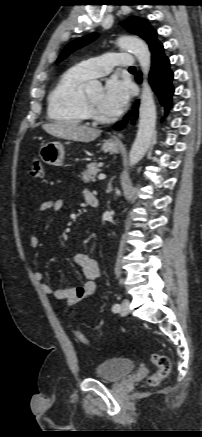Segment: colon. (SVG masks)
I'll list each match as a JSON object with an SVG mask.
<instances>
[{"label": "colon", "instance_id": "obj_1", "mask_svg": "<svg viewBox=\"0 0 202 437\" xmlns=\"http://www.w3.org/2000/svg\"><path fill=\"white\" fill-rule=\"evenodd\" d=\"M30 173L34 178H42L44 176V166L39 158H33L30 165ZM76 339L87 345L89 343L87 337L80 331H75ZM152 362L156 366L157 371L149 376L147 382L150 386L158 385L170 372L171 363L167 356L159 353L152 355Z\"/></svg>", "mask_w": 202, "mask_h": 437}]
</instances>
